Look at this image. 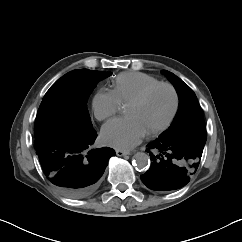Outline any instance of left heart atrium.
Masks as SVG:
<instances>
[{"label":"left heart atrium","instance_id":"1","mask_svg":"<svg viewBox=\"0 0 242 242\" xmlns=\"http://www.w3.org/2000/svg\"><path fill=\"white\" fill-rule=\"evenodd\" d=\"M146 133L136 118L127 114L107 122L101 130V139L106 145L127 150L138 145Z\"/></svg>","mask_w":242,"mask_h":242}]
</instances>
